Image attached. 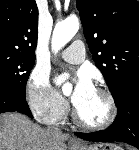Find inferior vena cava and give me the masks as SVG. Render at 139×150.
Here are the masks:
<instances>
[{
  "label": "inferior vena cava",
  "mask_w": 139,
  "mask_h": 150,
  "mask_svg": "<svg viewBox=\"0 0 139 150\" xmlns=\"http://www.w3.org/2000/svg\"><path fill=\"white\" fill-rule=\"evenodd\" d=\"M51 129L58 130L57 128L52 127Z\"/></svg>",
  "instance_id": "602c4592"
}]
</instances>
